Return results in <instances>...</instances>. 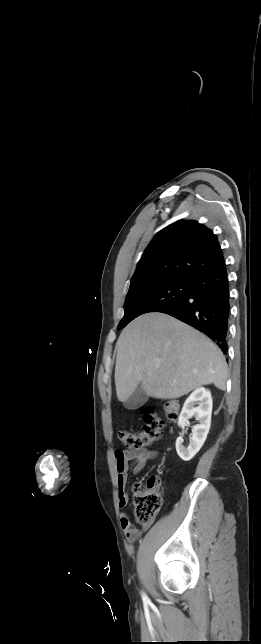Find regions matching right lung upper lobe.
<instances>
[{
  "instance_id": "1",
  "label": "right lung upper lobe",
  "mask_w": 261,
  "mask_h": 644,
  "mask_svg": "<svg viewBox=\"0 0 261 644\" xmlns=\"http://www.w3.org/2000/svg\"><path fill=\"white\" fill-rule=\"evenodd\" d=\"M223 262L211 230L195 221H177L161 230L146 248L130 288L168 278L191 280Z\"/></svg>"
}]
</instances>
